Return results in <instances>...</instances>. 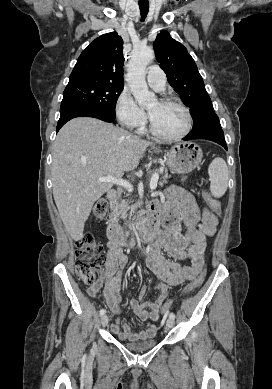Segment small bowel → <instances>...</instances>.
Masks as SVG:
<instances>
[{
  "label": "small bowel",
  "instance_id": "1",
  "mask_svg": "<svg viewBox=\"0 0 272 389\" xmlns=\"http://www.w3.org/2000/svg\"><path fill=\"white\" fill-rule=\"evenodd\" d=\"M165 204L155 203L152 206L162 216L165 229L159 232L153 241L147 261L148 269L157 279L156 287L160 291L153 302L142 301L145 287L142 286L139 298L124 300L121 274L128 259L120 246L109 242L105 265L98 271L99 278L88 289L91 297L100 292L108 305L115 312L122 309L121 304L127 303L133 314L146 322V328L132 331L129 325L118 319L111 325V331L121 340L137 341L152 338L157 330L155 322L159 318L162 304L168 296L169 286H178L194 279L203 269L206 237L212 236L218 224L216 214L207 206L200 207L196 198L188 191L172 185L166 190ZM181 224L184 231L181 230ZM166 251L174 261L167 260L162 251ZM189 260L186 266L181 261Z\"/></svg>",
  "mask_w": 272,
  "mask_h": 389
}]
</instances>
